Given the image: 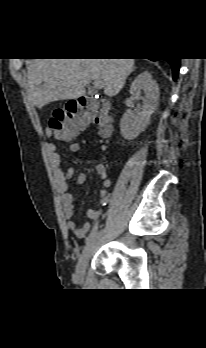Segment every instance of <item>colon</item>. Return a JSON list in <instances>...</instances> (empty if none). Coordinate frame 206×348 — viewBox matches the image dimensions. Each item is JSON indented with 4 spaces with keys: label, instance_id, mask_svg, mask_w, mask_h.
Instances as JSON below:
<instances>
[{
    "label": "colon",
    "instance_id": "obj_1",
    "mask_svg": "<svg viewBox=\"0 0 206 348\" xmlns=\"http://www.w3.org/2000/svg\"><path fill=\"white\" fill-rule=\"evenodd\" d=\"M110 113L105 103L81 97L55 110L49 119L50 136L55 141H70L89 124L100 127L102 134L110 132Z\"/></svg>",
    "mask_w": 206,
    "mask_h": 348
}]
</instances>
